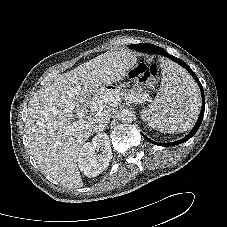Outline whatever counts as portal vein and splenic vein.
<instances>
[{"label": "portal vein and splenic vein", "instance_id": "obj_1", "mask_svg": "<svg viewBox=\"0 0 227 227\" xmlns=\"http://www.w3.org/2000/svg\"><path fill=\"white\" fill-rule=\"evenodd\" d=\"M132 98H134V97L132 96ZM142 99H146V98L143 96ZM77 115H78L79 121L73 122L72 128H74V127L76 128V127H79L81 125V121H83L84 118L86 117V112L83 111V110H80V111L77 112Z\"/></svg>", "mask_w": 227, "mask_h": 227}]
</instances>
